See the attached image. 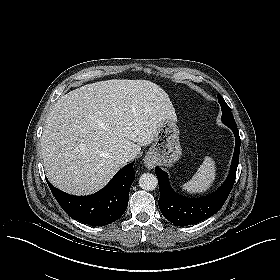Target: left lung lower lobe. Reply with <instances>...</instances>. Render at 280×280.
<instances>
[{"instance_id": "1", "label": "left lung lower lobe", "mask_w": 280, "mask_h": 280, "mask_svg": "<svg viewBox=\"0 0 280 280\" xmlns=\"http://www.w3.org/2000/svg\"><path fill=\"white\" fill-rule=\"evenodd\" d=\"M229 128L233 131L236 139L232 164L226 181L213 194L202 198L180 196L171 188L167 173L158 166L155 167L160 190L158 205L163 216L173 224L187 226L210 218L221 209L228 198L236 178L241 144L237 127Z\"/></svg>"}]
</instances>
